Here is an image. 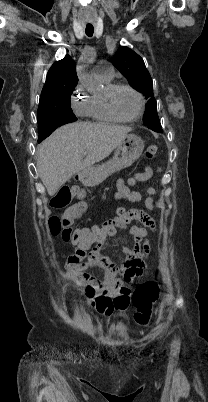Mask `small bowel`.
<instances>
[{"mask_svg":"<svg viewBox=\"0 0 208 402\" xmlns=\"http://www.w3.org/2000/svg\"><path fill=\"white\" fill-rule=\"evenodd\" d=\"M153 175L151 166H146L143 171L135 174L136 180L140 182L148 181ZM118 191L122 198L131 203L144 201L148 208L153 207L152 195L154 188L147 190L144 196L141 192L132 191L126 185L123 178L119 179L117 185ZM127 218L123 222H101L99 230L95 236L99 237L97 246L88 253V262H80L79 267H67V275L71 282L81 286L85 298L90 299L92 296H108L116 300V306L122 307L127 304V294L129 293V284L140 276L143 268L146 266V258L149 254L150 245L148 237L150 233L158 234L157 226L152 218H150L142 209L131 208L125 210ZM132 220L139 221L143 227L129 226ZM125 228L128 231L127 238L134 241L136 248L130 249L125 246L121 247L122 253L126 261L121 266H116L102 254L105 243H111L113 238L106 236L105 232H114L116 228ZM105 231V232H104ZM145 242L142 248L139 247L141 242ZM89 265L99 266L103 273V281H99L86 270Z\"/></svg>","mask_w":208,"mask_h":402,"instance_id":"c3829d8e","label":"small bowel"}]
</instances>
